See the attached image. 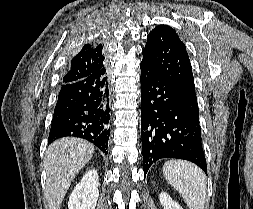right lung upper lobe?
<instances>
[{
  "mask_svg": "<svg viewBox=\"0 0 253 209\" xmlns=\"http://www.w3.org/2000/svg\"><path fill=\"white\" fill-rule=\"evenodd\" d=\"M104 60L102 44H85L71 60L67 73L63 77V84L73 83L92 74L105 71Z\"/></svg>",
  "mask_w": 253,
  "mask_h": 209,
  "instance_id": "1",
  "label": "right lung upper lobe"
}]
</instances>
